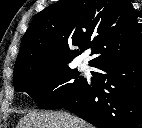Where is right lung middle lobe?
<instances>
[{"instance_id": "dd1d6c3e", "label": "right lung middle lobe", "mask_w": 142, "mask_h": 128, "mask_svg": "<svg viewBox=\"0 0 142 128\" xmlns=\"http://www.w3.org/2000/svg\"><path fill=\"white\" fill-rule=\"evenodd\" d=\"M16 91L29 94L40 109L63 108L83 88L87 79L67 65L40 62L14 73Z\"/></svg>"}]
</instances>
